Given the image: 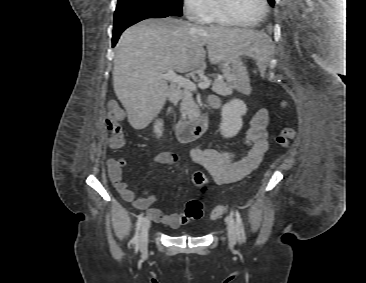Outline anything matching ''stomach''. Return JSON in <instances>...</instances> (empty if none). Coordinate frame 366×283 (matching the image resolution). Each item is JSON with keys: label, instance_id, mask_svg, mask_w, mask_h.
I'll return each mask as SVG.
<instances>
[{"label": "stomach", "instance_id": "stomach-1", "mask_svg": "<svg viewBox=\"0 0 366 283\" xmlns=\"http://www.w3.org/2000/svg\"><path fill=\"white\" fill-rule=\"evenodd\" d=\"M221 69L228 84L236 89H242V82L246 80L241 79V73H245L246 70L239 55L222 61Z\"/></svg>", "mask_w": 366, "mask_h": 283}]
</instances>
